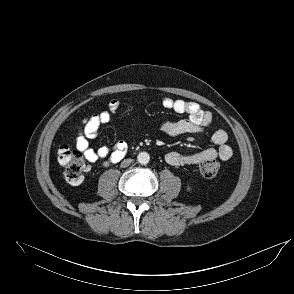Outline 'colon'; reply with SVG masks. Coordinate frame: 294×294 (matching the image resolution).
<instances>
[{"label":"colon","mask_w":294,"mask_h":294,"mask_svg":"<svg viewBox=\"0 0 294 294\" xmlns=\"http://www.w3.org/2000/svg\"><path fill=\"white\" fill-rule=\"evenodd\" d=\"M57 159L64 168V177L69 184L78 185L83 181L88 164L79 150L62 145L58 150ZM219 168L220 164L216 158H206L199 164L200 173L205 178L214 177Z\"/></svg>","instance_id":"1"}]
</instances>
